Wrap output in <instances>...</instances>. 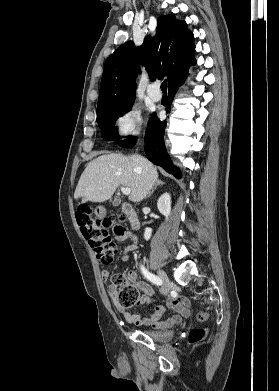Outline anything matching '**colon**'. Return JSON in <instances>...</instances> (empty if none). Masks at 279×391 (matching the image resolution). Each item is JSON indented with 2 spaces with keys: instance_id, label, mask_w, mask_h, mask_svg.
<instances>
[{
  "instance_id": "1",
  "label": "colon",
  "mask_w": 279,
  "mask_h": 391,
  "mask_svg": "<svg viewBox=\"0 0 279 391\" xmlns=\"http://www.w3.org/2000/svg\"><path fill=\"white\" fill-rule=\"evenodd\" d=\"M76 220L83 237L88 241L95 256L104 264L113 261L118 251L117 244L113 241L109 231L112 229L114 235L119 238L126 234L123 226L124 216L105 217L97 219L93 216L88 207L80 209L76 213ZM115 290L118 292V305L122 308H129L139 301L137 288L128 282L124 275H116L113 278ZM207 336V330L195 328L189 333V343L197 344Z\"/></svg>"
}]
</instances>
